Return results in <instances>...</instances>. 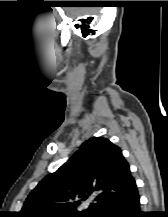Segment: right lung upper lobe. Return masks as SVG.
I'll return each instance as SVG.
<instances>
[{"mask_svg": "<svg viewBox=\"0 0 168 217\" xmlns=\"http://www.w3.org/2000/svg\"><path fill=\"white\" fill-rule=\"evenodd\" d=\"M137 188L121 149L106 138H90L27 197L20 217L80 215L94 217L107 203ZM95 197L87 211L81 200Z\"/></svg>", "mask_w": 168, "mask_h": 217, "instance_id": "cb5924a9", "label": "right lung upper lobe"}]
</instances>
